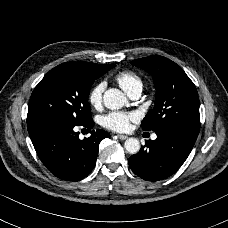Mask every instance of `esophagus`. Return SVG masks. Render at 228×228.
Segmentation results:
<instances>
[{
	"instance_id": "1",
	"label": "esophagus",
	"mask_w": 228,
	"mask_h": 228,
	"mask_svg": "<svg viewBox=\"0 0 228 228\" xmlns=\"http://www.w3.org/2000/svg\"><path fill=\"white\" fill-rule=\"evenodd\" d=\"M117 137L120 139V140H126L128 138L127 135H123V134H118Z\"/></svg>"
}]
</instances>
